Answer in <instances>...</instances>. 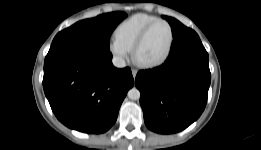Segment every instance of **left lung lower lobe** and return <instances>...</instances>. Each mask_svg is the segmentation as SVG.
I'll return each mask as SVG.
<instances>
[{
	"label": "left lung lower lobe",
	"instance_id": "0a47b994",
	"mask_svg": "<svg viewBox=\"0 0 261 150\" xmlns=\"http://www.w3.org/2000/svg\"><path fill=\"white\" fill-rule=\"evenodd\" d=\"M208 53L190 28L174 36L169 57L161 66L139 71L135 84L146 126L156 133L182 131L202 114L211 74Z\"/></svg>",
	"mask_w": 261,
	"mask_h": 150
}]
</instances>
